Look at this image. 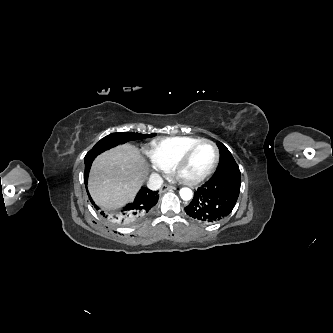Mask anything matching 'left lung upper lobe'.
<instances>
[{"mask_svg": "<svg viewBox=\"0 0 333 333\" xmlns=\"http://www.w3.org/2000/svg\"><path fill=\"white\" fill-rule=\"evenodd\" d=\"M218 148L220 150V163L216 172L228 169L233 166H238L235 162L230 151L221 142H218Z\"/></svg>", "mask_w": 333, "mask_h": 333, "instance_id": "obj_1", "label": "left lung upper lobe"}]
</instances>
